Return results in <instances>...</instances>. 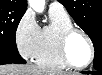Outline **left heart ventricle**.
Instances as JSON below:
<instances>
[{
    "instance_id": "obj_1",
    "label": "left heart ventricle",
    "mask_w": 102,
    "mask_h": 75,
    "mask_svg": "<svg viewBox=\"0 0 102 75\" xmlns=\"http://www.w3.org/2000/svg\"><path fill=\"white\" fill-rule=\"evenodd\" d=\"M68 53L74 63H81L90 54L86 39L79 33L73 35L68 42Z\"/></svg>"
}]
</instances>
